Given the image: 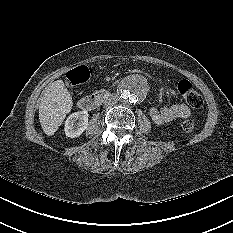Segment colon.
I'll use <instances>...</instances> for the list:
<instances>
[{
    "mask_svg": "<svg viewBox=\"0 0 233 233\" xmlns=\"http://www.w3.org/2000/svg\"><path fill=\"white\" fill-rule=\"evenodd\" d=\"M92 71L87 66H79L67 73V83L70 86H77L85 83L91 76ZM178 92L192 108H200L203 105L201 95L194 89L191 82L181 80L177 85ZM182 129L191 132L195 129V121L187 119L182 123Z\"/></svg>",
    "mask_w": 233,
    "mask_h": 233,
    "instance_id": "obj_1",
    "label": "colon"
}]
</instances>
